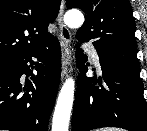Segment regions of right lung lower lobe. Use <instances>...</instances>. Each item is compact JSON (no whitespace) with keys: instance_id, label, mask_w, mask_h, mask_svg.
Instances as JSON below:
<instances>
[{"instance_id":"98d812e1","label":"right lung lower lobe","mask_w":147,"mask_h":131,"mask_svg":"<svg viewBox=\"0 0 147 131\" xmlns=\"http://www.w3.org/2000/svg\"><path fill=\"white\" fill-rule=\"evenodd\" d=\"M32 57L37 75L31 65ZM31 76L25 85L22 74ZM61 74V50L56 38L44 47L20 55L0 65V129L47 131ZM25 91V92H23Z\"/></svg>"}]
</instances>
